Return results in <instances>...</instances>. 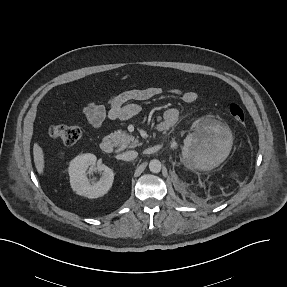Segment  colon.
Returning <instances> with one entry per match:
<instances>
[{"label": "colon", "instance_id": "colon-1", "mask_svg": "<svg viewBox=\"0 0 287 287\" xmlns=\"http://www.w3.org/2000/svg\"><path fill=\"white\" fill-rule=\"evenodd\" d=\"M228 113L236 122L240 124L245 122V112L240 104L231 103L228 106ZM50 136L65 145H73L81 138L82 128L77 125H53L50 128Z\"/></svg>", "mask_w": 287, "mask_h": 287}]
</instances>
